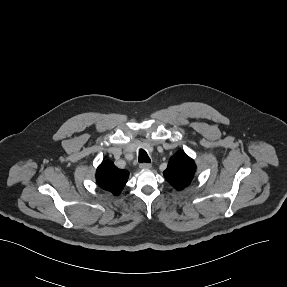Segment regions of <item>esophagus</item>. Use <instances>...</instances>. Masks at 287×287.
Returning a JSON list of instances; mask_svg holds the SVG:
<instances>
[{"label": "esophagus", "mask_w": 287, "mask_h": 287, "mask_svg": "<svg viewBox=\"0 0 287 287\" xmlns=\"http://www.w3.org/2000/svg\"><path fill=\"white\" fill-rule=\"evenodd\" d=\"M139 167H140L141 169H150V168L152 167V165H151L150 163H141V164L139 165Z\"/></svg>", "instance_id": "34e87169"}]
</instances>
